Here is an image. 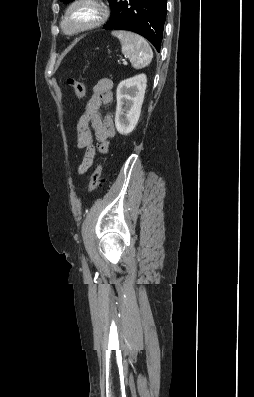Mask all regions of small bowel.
<instances>
[{
	"label": "small bowel",
	"mask_w": 254,
	"mask_h": 397,
	"mask_svg": "<svg viewBox=\"0 0 254 397\" xmlns=\"http://www.w3.org/2000/svg\"><path fill=\"white\" fill-rule=\"evenodd\" d=\"M113 82L104 78L99 80L93 88V94L88 100L85 110L77 123L76 144L83 150L81 163L78 166V174H85L93 165L96 151L107 153L109 140L115 135V127L112 115L104 116L100 113L102 105H108L112 101ZM97 141L93 144L92 131Z\"/></svg>",
	"instance_id": "1"
}]
</instances>
